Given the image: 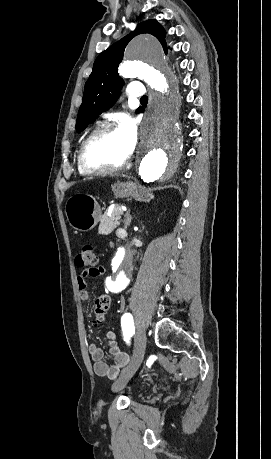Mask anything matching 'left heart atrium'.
Masks as SVG:
<instances>
[{
    "label": "left heart atrium",
    "instance_id": "39dd6f15",
    "mask_svg": "<svg viewBox=\"0 0 271 459\" xmlns=\"http://www.w3.org/2000/svg\"><path fill=\"white\" fill-rule=\"evenodd\" d=\"M119 131L126 139L130 151L132 152L139 139V121L126 116L120 122Z\"/></svg>",
    "mask_w": 271,
    "mask_h": 459
}]
</instances>
